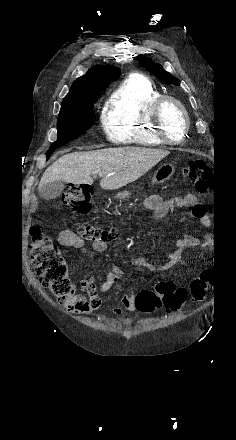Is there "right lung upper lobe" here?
I'll return each instance as SVG.
<instances>
[{
	"label": "right lung upper lobe",
	"instance_id": "obj_1",
	"mask_svg": "<svg viewBox=\"0 0 236 440\" xmlns=\"http://www.w3.org/2000/svg\"><path fill=\"white\" fill-rule=\"evenodd\" d=\"M119 71V68L110 65L94 66L72 84L62 103L100 93L108 87L110 82L115 80Z\"/></svg>",
	"mask_w": 236,
	"mask_h": 440
}]
</instances>
